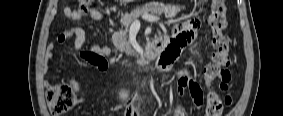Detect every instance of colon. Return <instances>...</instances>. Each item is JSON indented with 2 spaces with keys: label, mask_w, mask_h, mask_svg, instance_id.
<instances>
[{
  "label": "colon",
  "mask_w": 283,
  "mask_h": 116,
  "mask_svg": "<svg viewBox=\"0 0 283 116\" xmlns=\"http://www.w3.org/2000/svg\"><path fill=\"white\" fill-rule=\"evenodd\" d=\"M81 12L90 10L91 0H79ZM209 25L212 31V44L214 53L212 60L204 68V81L207 88L206 113L209 116H220L225 106L231 102L230 97L222 98L214 88V82L219 80L221 90L226 89L230 82L231 74L227 70L231 63L229 56L231 39L224 33L227 27L226 5L224 0H212ZM75 94L66 83H57L49 87L47 101L49 109L54 115H62L68 112L75 104Z\"/></svg>",
  "instance_id": "colon-1"
}]
</instances>
